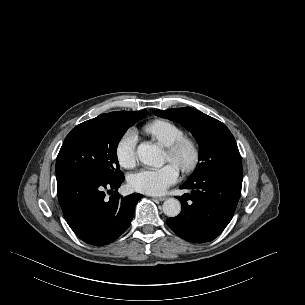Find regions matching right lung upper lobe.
Listing matches in <instances>:
<instances>
[{
	"instance_id": "cb5924a9",
	"label": "right lung upper lobe",
	"mask_w": 305,
	"mask_h": 305,
	"mask_svg": "<svg viewBox=\"0 0 305 305\" xmlns=\"http://www.w3.org/2000/svg\"><path fill=\"white\" fill-rule=\"evenodd\" d=\"M111 113L120 114L122 116H129V115L133 114V112H131V111H116V112H111Z\"/></svg>"
}]
</instances>
